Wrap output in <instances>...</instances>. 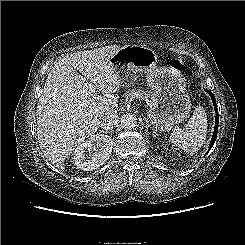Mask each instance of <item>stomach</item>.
Instances as JSON below:
<instances>
[{
	"label": "stomach",
	"instance_id": "stomach-1",
	"mask_svg": "<svg viewBox=\"0 0 245 245\" xmlns=\"http://www.w3.org/2000/svg\"><path fill=\"white\" fill-rule=\"evenodd\" d=\"M121 86H132L139 73L146 74L149 87L154 89L147 116L156 131H169L184 121L191 109L185 78L180 71L157 67L158 56L151 48L126 45L110 59Z\"/></svg>",
	"mask_w": 245,
	"mask_h": 245
}]
</instances>
